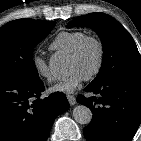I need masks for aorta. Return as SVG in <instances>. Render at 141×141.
Wrapping results in <instances>:
<instances>
[{
	"label": "aorta",
	"mask_w": 141,
	"mask_h": 141,
	"mask_svg": "<svg viewBox=\"0 0 141 141\" xmlns=\"http://www.w3.org/2000/svg\"><path fill=\"white\" fill-rule=\"evenodd\" d=\"M49 66L55 76H61L65 73V62L60 58L53 57ZM73 117L77 123L87 125L91 122L92 112L87 106L77 105L73 109Z\"/></svg>",
	"instance_id": "762f6f07"
}]
</instances>
